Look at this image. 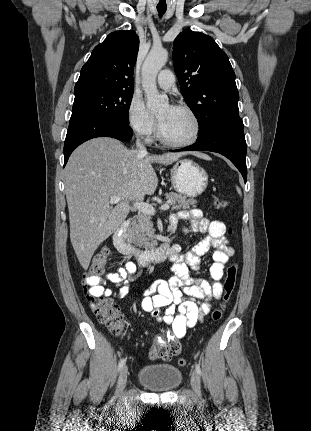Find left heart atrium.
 <instances>
[{
  "label": "left heart atrium",
  "mask_w": 311,
  "mask_h": 431,
  "mask_svg": "<svg viewBox=\"0 0 311 431\" xmlns=\"http://www.w3.org/2000/svg\"><path fill=\"white\" fill-rule=\"evenodd\" d=\"M175 108H176L175 106H170V107H169V109H170V110H173V109H175Z\"/></svg>",
  "instance_id": "1"
}]
</instances>
